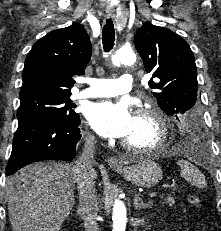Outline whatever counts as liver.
Listing matches in <instances>:
<instances>
[{
    "instance_id": "liver-1",
    "label": "liver",
    "mask_w": 221,
    "mask_h": 231,
    "mask_svg": "<svg viewBox=\"0 0 221 231\" xmlns=\"http://www.w3.org/2000/svg\"><path fill=\"white\" fill-rule=\"evenodd\" d=\"M75 165H28L6 181L13 231H60L74 203Z\"/></svg>"
}]
</instances>
